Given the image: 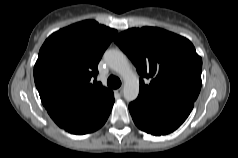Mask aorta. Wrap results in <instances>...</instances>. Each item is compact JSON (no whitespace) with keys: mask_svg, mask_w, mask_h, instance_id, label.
Returning a JSON list of instances; mask_svg holds the SVG:
<instances>
[{"mask_svg":"<svg viewBox=\"0 0 238 158\" xmlns=\"http://www.w3.org/2000/svg\"><path fill=\"white\" fill-rule=\"evenodd\" d=\"M107 65L117 72L124 81L123 94L127 101H133L139 94V80L126 55L117 49L107 50L104 54Z\"/></svg>","mask_w":238,"mask_h":158,"instance_id":"1","label":"aorta"}]
</instances>
